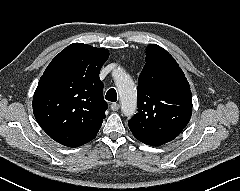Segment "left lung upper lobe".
Wrapping results in <instances>:
<instances>
[{"label": "left lung upper lobe", "mask_w": 240, "mask_h": 191, "mask_svg": "<svg viewBox=\"0 0 240 191\" xmlns=\"http://www.w3.org/2000/svg\"><path fill=\"white\" fill-rule=\"evenodd\" d=\"M138 113L129 128L139 141L160 146L178 136L192 114L189 83L177 62L163 48L150 44L138 81Z\"/></svg>", "instance_id": "5c2ea615"}]
</instances>
